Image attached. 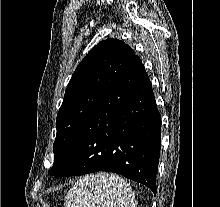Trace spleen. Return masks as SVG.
<instances>
[{"label": "spleen", "instance_id": "3e777b00", "mask_svg": "<svg viewBox=\"0 0 220 207\" xmlns=\"http://www.w3.org/2000/svg\"><path fill=\"white\" fill-rule=\"evenodd\" d=\"M66 207H136L130 185L116 174L98 173L81 178L68 191Z\"/></svg>", "mask_w": 220, "mask_h": 207}]
</instances>
